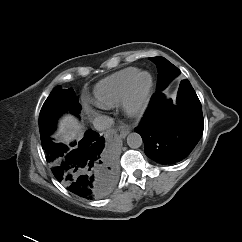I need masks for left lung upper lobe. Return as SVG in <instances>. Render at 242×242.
<instances>
[{
  "label": "left lung upper lobe",
  "instance_id": "1",
  "mask_svg": "<svg viewBox=\"0 0 242 242\" xmlns=\"http://www.w3.org/2000/svg\"><path fill=\"white\" fill-rule=\"evenodd\" d=\"M158 69V79L156 90H163L169 82L180 74V70L164 57L149 58Z\"/></svg>",
  "mask_w": 242,
  "mask_h": 242
}]
</instances>
